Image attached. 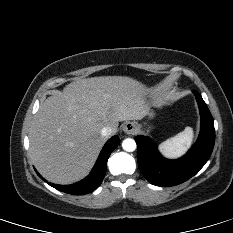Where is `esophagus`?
Returning <instances> with one entry per match:
<instances>
[{
    "label": "esophagus",
    "mask_w": 233,
    "mask_h": 233,
    "mask_svg": "<svg viewBox=\"0 0 233 233\" xmlns=\"http://www.w3.org/2000/svg\"><path fill=\"white\" fill-rule=\"evenodd\" d=\"M123 132L127 135L135 134L137 132V127L133 122H127L123 126Z\"/></svg>",
    "instance_id": "esophagus-1"
}]
</instances>
